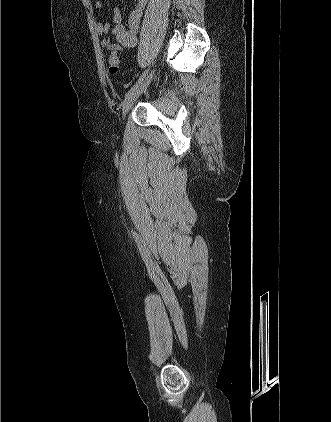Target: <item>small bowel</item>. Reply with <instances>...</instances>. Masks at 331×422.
<instances>
[{"label":"small bowel","instance_id":"1","mask_svg":"<svg viewBox=\"0 0 331 422\" xmlns=\"http://www.w3.org/2000/svg\"><path fill=\"white\" fill-rule=\"evenodd\" d=\"M147 2L148 0H137L136 6L129 16L127 27L122 23V15L117 6L113 9L112 27H110L109 21H100L96 24V32L98 35L106 36L101 41V45L104 49L111 52V54H117L118 52L135 45L137 31ZM94 6L96 9H100L102 8V2L96 0ZM112 37H114L116 44L112 42Z\"/></svg>","mask_w":331,"mask_h":422}]
</instances>
